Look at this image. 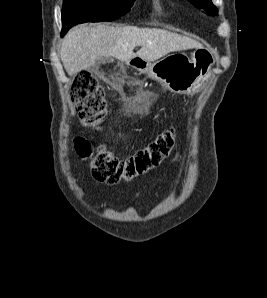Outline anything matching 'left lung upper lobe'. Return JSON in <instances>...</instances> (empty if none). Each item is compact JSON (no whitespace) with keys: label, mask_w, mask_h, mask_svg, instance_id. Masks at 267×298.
<instances>
[{"label":"left lung upper lobe","mask_w":267,"mask_h":298,"mask_svg":"<svg viewBox=\"0 0 267 298\" xmlns=\"http://www.w3.org/2000/svg\"><path fill=\"white\" fill-rule=\"evenodd\" d=\"M198 8H202L210 15H216L218 13L217 8L212 4L211 0H189Z\"/></svg>","instance_id":"obj_1"}]
</instances>
